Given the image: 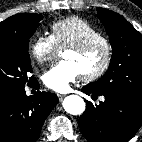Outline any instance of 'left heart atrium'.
<instances>
[{"instance_id": "obj_1", "label": "left heart atrium", "mask_w": 142, "mask_h": 142, "mask_svg": "<svg viewBox=\"0 0 142 142\" xmlns=\"http://www.w3.org/2000/svg\"><path fill=\"white\" fill-rule=\"evenodd\" d=\"M81 77L77 66L68 60L52 66L43 75L44 84L53 91L66 92Z\"/></svg>"}]
</instances>
